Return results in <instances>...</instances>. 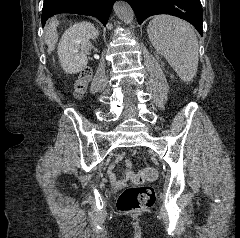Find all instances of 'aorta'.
<instances>
[{
	"label": "aorta",
	"mask_w": 240,
	"mask_h": 238,
	"mask_svg": "<svg viewBox=\"0 0 240 238\" xmlns=\"http://www.w3.org/2000/svg\"><path fill=\"white\" fill-rule=\"evenodd\" d=\"M113 10L117 17L125 23H131L134 18V12L132 8L122 0L117 1L114 4Z\"/></svg>",
	"instance_id": "762f6f07"
}]
</instances>
